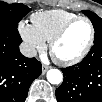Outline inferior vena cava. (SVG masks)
<instances>
[{
    "label": "inferior vena cava",
    "mask_w": 102,
    "mask_h": 102,
    "mask_svg": "<svg viewBox=\"0 0 102 102\" xmlns=\"http://www.w3.org/2000/svg\"><path fill=\"white\" fill-rule=\"evenodd\" d=\"M20 52L22 53V55H24L25 57H28V58L37 56L36 49L27 43H22L20 45Z\"/></svg>",
    "instance_id": "inferior-vena-cava-1"
}]
</instances>
